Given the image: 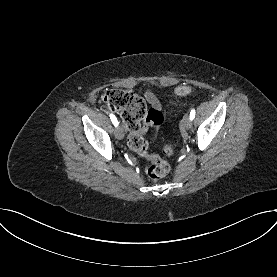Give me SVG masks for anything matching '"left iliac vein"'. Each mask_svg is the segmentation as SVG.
<instances>
[{
	"label": "left iliac vein",
	"mask_w": 277,
	"mask_h": 277,
	"mask_svg": "<svg viewBox=\"0 0 277 277\" xmlns=\"http://www.w3.org/2000/svg\"><path fill=\"white\" fill-rule=\"evenodd\" d=\"M182 126L183 128L189 130L192 128V120L188 115H185L182 120Z\"/></svg>",
	"instance_id": "4c4485c4"
}]
</instances>
